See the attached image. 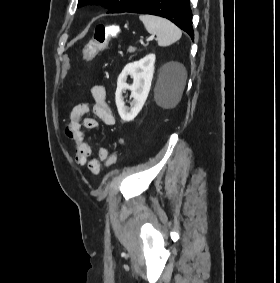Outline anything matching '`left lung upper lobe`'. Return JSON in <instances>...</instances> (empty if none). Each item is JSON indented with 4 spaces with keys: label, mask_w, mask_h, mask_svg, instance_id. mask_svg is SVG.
Listing matches in <instances>:
<instances>
[{
    "label": "left lung upper lobe",
    "mask_w": 280,
    "mask_h": 283,
    "mask_svg": "<svg viewBox=\"0 0 280 283\" xmlns=\"http://www.w3.org/2000/svg\"><path fill=\"white\" fill-rule=\"evenodd\" d=\"M140 0H78V7L86 4H100L108 9L107 13L126 12Z\"/></svg>",
    "instance_id": "left-lung-upper-lobe-1"
}]
</instances>
